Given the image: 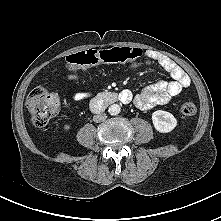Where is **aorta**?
Instances as JSON below:
<instances>
[{
	"label": "aorta",
	"instance_id": "1",
	"mask_svg": "<svg viewBox=\"0 0 221 221\" xmlns=\"http://www.w3.org/2000/svg\"><path fill=\"white\" fill-rule=\"evenodd\" d=\"M121 111V108L118 104H112L108 108V112L110 115H118Z\"/></svg>",
	"mask_w": 221,
	"mask_h": 221
}]
</instances>
